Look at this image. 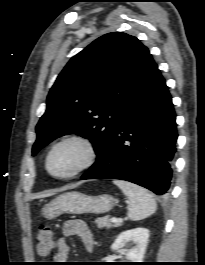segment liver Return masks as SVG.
I'll list each match as a JSON object with an SVG mask.
<instances>
[{"mask_svg":"<svg viewBox=\"0 0 205 265\" xmlns=\"http://www.w3.org/2000/svg\"><path fill=\"white\" fill-rule=\"evenodd\" d=\"M54 193H43V194H40L37 196V198H44V197H49V196H52Z\"/></svg>","mask_w":205,"mask_h":265,"instance_id":"liver-1","label":"liver"}]
</instances>
